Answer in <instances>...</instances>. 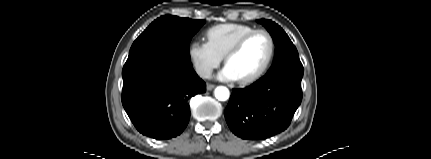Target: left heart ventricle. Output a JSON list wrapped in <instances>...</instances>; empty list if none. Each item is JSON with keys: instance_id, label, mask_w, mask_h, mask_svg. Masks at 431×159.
I'll list each match as a JSON object with an SVG mask.
<instances>
[{"instance_id": "obj_1", "label": "left heart ventricle", "mask_w": 431, "mask_h": 159, "mask_svg": "<svg viewBox=\"0 0 431 159\" xmlns=\"http://www.w3.org/2000/svg\"><path fill=\"white\" fill-rule=\"evenodd\" d=\"M270 50V43L265 34L252 36L243 49L232 57L226 65L234 72L238 79L255 73L266 61Z\"/></svg>"}]
</instances>
